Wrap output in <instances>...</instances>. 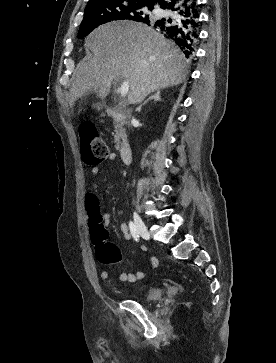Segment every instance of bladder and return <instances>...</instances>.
<instances>
[{"instance_id": "31cf9c89", "label": "bladder", "mask_w": 276, "mask_h": 363, "mask_svg": "<svg viewBox=\"0 0 276 363\" xmlns=\"http://www.w3.org/2000/svg\"><path fill=\"white\" fill-rule=\"evenodd\" d=\"M162 295H163L162 288L152 287L147 291V293L144 297V300L145 301H156V300L161 299Z\"/></svg>"}]
</instances>
